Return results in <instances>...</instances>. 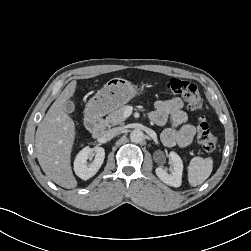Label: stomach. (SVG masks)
I'll return each mask as SVG.
<instances>
[{"label":"stomach","instance_id":"0dacf381","mask_svg":"<svg viewBox=\"0 0 251 251\" xmlns=\"http://www.w3.org/2000/svg\"><path fill=\"white\" fill-rule=\"evenodd\" d=\"M143 92L144 87L137 89L125 79L113 78L88 101L85 111L89 116H101L126 104Z\"/></svg>","mask_w":251,"mask_h":251}]
</instances>
